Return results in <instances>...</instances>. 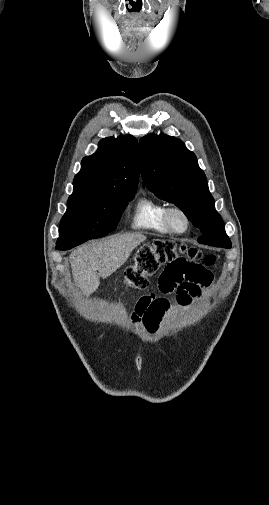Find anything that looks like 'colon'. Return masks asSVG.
Listing matches in <instances>:
<instances>
[{"label":"colon","instance_id":"5ec220e1","mask_svg":"<svg viewBox=\"0 0 269 505\" xmlns=\"http://www.w3.org/2000/svg\"><path fill=\"white\" fill-rule=\"evenodd\" d=\"M170 259L202 260L205 262L207 268L213 266L216 262L214 255L203 256L196 248L181 247L178 250L171 243L155 242L144 245L138 250L134 265L127 268L125 272L126 284L135 289H144L148 283L147 277L154 274L161 265L168 264Z\"/></svg>","mask_w":269,"mask_h":505}]
</instances>
